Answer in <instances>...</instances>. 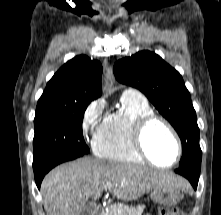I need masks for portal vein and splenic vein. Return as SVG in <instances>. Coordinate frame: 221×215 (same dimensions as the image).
Masks as SVG:
<instances>
[{"label": "portal vein and splenic vein", "instance_id": "obj_1", "mask_svg": "<svg viewBox=\"0 0 221 215\" xmlns=\"http://www.w3.org/2000/svg\"><path fill=\"white\" fill-rule=\"evenodd\" d=\"M111 186H112V184H106L104 189H107L108 187H111Z\"/></svg>", "mask_w": 221, "mask_h": 215}]
</instances>
